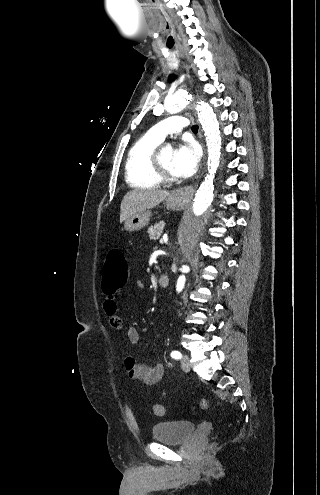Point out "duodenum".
<instances>
[{
  "label": "duodenum",
  "mask_w": 320,
  "mask_h": 495,
  "mask_svg": "<svg viewBox=\"0 0 320 495\" xmlns=\"http://www.w3.org/2000/svg\"><path fill=\"white\" fill-rule=\"evenodd\" d=\"M170 283V277L168 274H162L158 279V284L162 288H166Z\"/></svg>",
  "instance_id": "410a0bca"
}]
</instances>
